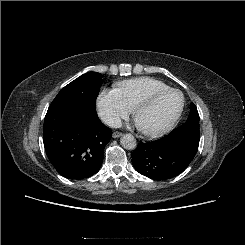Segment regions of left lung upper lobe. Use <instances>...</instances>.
Masks as SVG:
<instances>
[{
	"label": "left lung upper lobe",
	"mask_w": 245,
	"mask_h": 245,
	"mask_svg": "<svg viewBox=\"0 0 245 245\" xmlns=\"http://www.w3.org/2000/svg\"><path fill=\"white\" fill-rule=\"evenodd\" d=\"M191 110L186 122L174 129L170 135H191L194 137H200L199 131V114L196 106L191 103Z\"/></svg>",
	"instance_id": "1"
}]
</instances>
